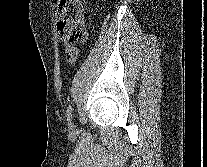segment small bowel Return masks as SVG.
I'll use <instances>...</instances> for the list:
<instances>
[{
  "mask_svg": "<svg viewBox=\"0 0 207 167\" xmlns=\"http://www.w3.org/2000/svg\"><path fill=\"white\" fill-rule=\"evenodd\" d=\"M65 48H66V59L69 62H74L77 58V49L73 46H68L67 44H65Z\"/></svg>",
  "mask_w": 207,
  "mask_h": 167,
  "instance_id": "c3829d8e",
  "label": "small bowel"
}]
</instances>
